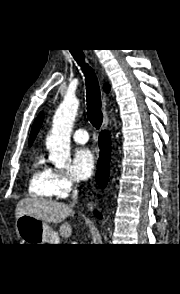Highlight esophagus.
<instances>
[{"instance_id": "1", "label": "esophagus", "mask_w": 180, "mask_h": 294, "mask_svg": "<svg viewBox=\"0 0 180 294\" xmlns=\"http://www.w3.org/2000/svg\"><path fill=\"white\" fill-rule=\"evenodd\" d=\"M102 108H103V128L105 129L108 125V115H107V101H106V95L103 94V103H102ZM92 204L89 205L88 210L92 211Z\"/></svg>"}]
</instances>
